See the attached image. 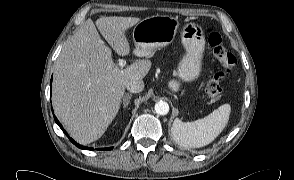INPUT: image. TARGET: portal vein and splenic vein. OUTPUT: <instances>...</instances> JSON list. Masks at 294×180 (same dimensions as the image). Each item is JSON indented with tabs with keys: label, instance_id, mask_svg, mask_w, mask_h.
Returning a JSON list of instances; mask_svg holds the SVG:
<instances>
[{
	"label": "portal vein and splenic vein",
	"instance_id": "18ae733b",
	"mask_svg": "<svg viewBox=\"0 0 294 180\" xmlns=\"http://www.w3.org/2000/svg\"><path fill=\"white\" fill-rule=\"evenodd\" d=\"M118 65L120 67H124L126 65V61L124 59H120L119 62H118Z\"/></svg>",
	"mask_w": 294,
	"mask_h": 180
}]
</instances>
